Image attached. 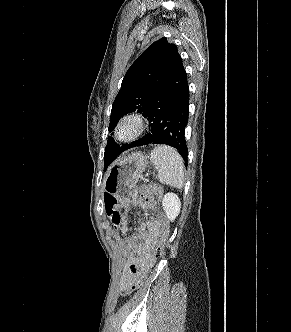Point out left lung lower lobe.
I'll return each mask as SVG.
<instances>
[{"mask_svg":"<svg viewBox=\"0 0 291 332\" xmlns=\"http://www.w3.org/2000/svg\"><path fill=\"white\" fill-rule=\"evenodd\" d=\"M144 116L151 122L150 132L140 140L121 147L105 165V169L126 149L149 143L174 147L187 162L185 128L189 118V86L182 61L163 90L154 98Z\"/></svg>","mask_w":291,"mask_h":332,"instance_id":"1","label":"left lung lower lobe"}]
</instances>
